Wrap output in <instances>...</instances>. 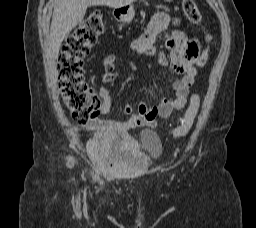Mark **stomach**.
<instances>
[{"label": "stomach", "mask_w": 256, "mask_h": 228, "mask_svg": "<svg viewBox=\"0 0 256 228\" xmlns=\"http://www.w3.org/2000/svg\"><path fill=\"white\" fill-rule=\"evenodd\" d=\"M167 2H170L172 0H165ZM135 15V11L133 9V7L131 6H125L123 8H117L114 11V16L115 18L120 21V22H124V23H129L132 21V19L134 18Z\"/></svg>", "instance_id": "0dacf381"}]
</instances>
